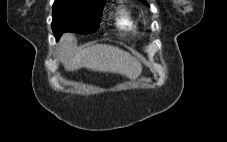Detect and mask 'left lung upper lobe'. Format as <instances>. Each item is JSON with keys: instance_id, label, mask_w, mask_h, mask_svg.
<instances>
[{"instance_id": "1", "label": "left lung upper lobe", "mask_w": 227, "mask_h": 142, "mask_svg": "<svg viewBox=\"0 0 227 142\" xmlns=\"http://www.w3.org/2000/svg\"><path fill=\"white\" fill-rule=\"evenodd\" d=\"M140 1H142L143 3H145L146 5H148L147 2H146L145 0H140Z\"/></svg>"}]
</instances>
